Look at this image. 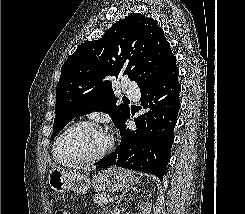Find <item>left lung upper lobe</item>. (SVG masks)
<instances>
[{
    "label": "left lung upper lobe",
    "instance_id": "5c2ea615",
    "mask_svg": "<svg viewBox=\"0 0 245 214\" xmlns=\"http://www.w3.org/2000/svg\"><path fill=\"white\" fill-rule=\"evenodd\" d=\"M175 63L170 44L153 18L133 13L117 21L99 40L79 45L63 64L51 140L72 119L93 111L109 113L120 129L130 109L117 105L112 80L128 75L142 91Z\"/></svg>",
    "mask_w": 245,
    "mask_h": 214
}]
</instances>
